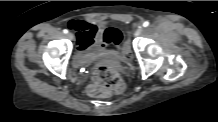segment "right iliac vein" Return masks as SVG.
Masks as SVG:
<instances>
[{
  "mask_svg": "<svg viewBox=\"0 0 218 122\" xmlns=\"http://www.w3.org/2000/svg\"><path fill=\"white\" fill-rule=\"evenodd\" d=\"M67 37H68L70 40H72V39L74 38V35H73L72 33H68V34H67Z\"/></svg>",
  "mask_w": 218,
  "mask_h": 122,
  "instance_id": "63e3f726",
  "label": "right iliac vein"
}]
</instances>
